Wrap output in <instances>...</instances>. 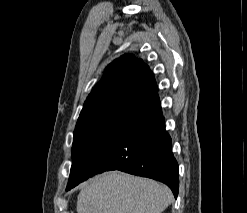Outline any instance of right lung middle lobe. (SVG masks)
Returning <instances> with one entry per match:
<instances>
[{
  "label": "right lung middle lobe",
  "instance_id": "right-lung-middle-lobe-1",
  "mask_svg": "<svg viewBox=\"0 0 247 213\" xmlns=\"http://www.w3.org/2000/svg\"><path fill=\"white\" fill-rule=\"evenodd\" d=\"M130 109V104L116 106L76 126L67 191L96 174L100 156L117 138Z\"/></svg>",
  "mask_w": 247,
  "mask_h": 213
}]
</instances>
